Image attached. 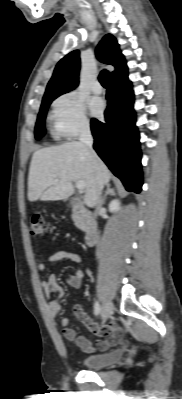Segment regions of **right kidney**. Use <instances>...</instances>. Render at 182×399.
<instances>
[{"label": "right kidney", "mask_w": 182, "mask_h": 399, "mask_svg": "<svg viewBox=\"0 0 182 399\" xmlns=\"http://www.w3.org/2000/svg\"><path fill=\"white\" fill-rule=\"evenodd\" d=\"M120 210V201L118 199H114L109 203V211L117 212Z\"/></svg>", "instance_id": "1"}]
</instances>
